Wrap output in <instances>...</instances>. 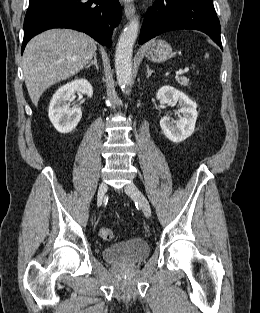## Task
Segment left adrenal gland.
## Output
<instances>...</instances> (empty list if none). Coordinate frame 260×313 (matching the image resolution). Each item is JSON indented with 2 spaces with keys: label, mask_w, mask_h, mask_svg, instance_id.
<instances>
[{
  "label": "left adrenal gland",
  "mask_w": 260,
  "mask_h": 313,
  "mask_svg": "<svg viewBox=\"0 0 260 313\" xmlns=\"http://www.w3.org/2000/svg\"><path fill=\"white\" fill-rule=\"evenodd\" d=\"M146 67H147V78H149L151 74L154 73V71L151 70L148 65Z\"/></svg>",
  "instance_id": "1"
}]
</instances>
